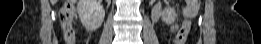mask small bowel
Listing matches in <instances>:
<instances>
[{"mask_svg":"<svg viewBox=\"0 0 261 44\" xmlns=\"http://www.w3.org/2000/svg\"><path fill=\"white\" fill-rule=\"evenodd\" d=\"M186 4H187V3H186ZM159 10H160V7H157V8L155 9V14H154L155 18L157 17V15H158V13H159ZM197 10H198V7L192 9V8L190 7V5L187 4V5L183 8V14H184V16L190 15L191 17H194V16L196 15V13H197ZM176 27H177V25L173 26V27H172V30H175Z\"/></svg>","mask_w":261,"mask_h":44,"instance_id":"c3829d8e","label":"small bowel"}]
</instances>
